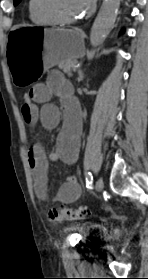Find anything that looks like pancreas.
<instances>
[{"mask_svg": "<svg viewBox=\"0 0 148 279\" xmlns=\"http://www.w3.org/2000/svg\"><path fill=\"white\" fill-rule=\"evenodd\" d=\"M77 63L76 60H65L59 63V68L62 69L69 77L72 76L71 68Z\"/></svg>", "mask_w": 148, "mask_h": 279, "instance_id": "1", "label": "pancreas"}]
</instances>
